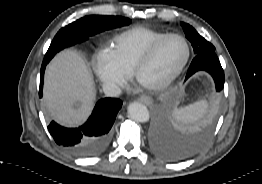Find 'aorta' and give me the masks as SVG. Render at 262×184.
<instances>
[{"instance_id":"obj_1","label":"aorta","mask_w":262,"mask_h":184,"mask_svg":"<svg viewBox=\"0 0 262 184\" xmlns=\"http://www.w3.org/2000/svg\"><path fill=\"white\" fill-rule=\"evenodd\" d=\"M128 114L136 122L145 123L149 121L150 113L148 108L140 102H132L128 105Z\"/></svg>"}]
</instances>
